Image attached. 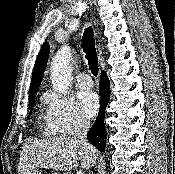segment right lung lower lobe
Segmentation results:
<instances>
[{"instance_id": "right-lung-lower-lobe-1", "label": "right lung lower lobe", "mask_w": 175, "mask_h": 174, "mask_svg": "<svg viewBox=\"0 0 175 174\" xmlns=\"http://www.w3.org/2000/svg\"><path fill=\"white\" fill-rule=\"evenodd\" d=\"M110 99V83L107 75L102 72L100 77V111L93 126L87 133V139L98 150L104 151L106 146V129L104 111Z\"/></svg>"}]
</instances>
